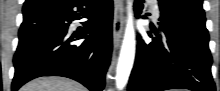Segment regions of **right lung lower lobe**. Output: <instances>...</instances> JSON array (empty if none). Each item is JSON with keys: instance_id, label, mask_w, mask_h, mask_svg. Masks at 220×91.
<instances>
[{"instance_id": "right-lung-lower-lobe-1", "label": "right lung lower lobe", "mask_w": 220, "mask_h": 91, "mask_svg": "<svg viewBox=\"0 0 220 91\" xmlns=\"http://www.w3.org/2000/svg\"><path fill=\"white\" fill-rule=\"evenodd\" d=\"M89 20L74 28L72 21ZM112 0H57L23 11L12 91L40 76L102 91L112 51ZM89 34V35H88Z\"/></svg>"}]
</instances>
